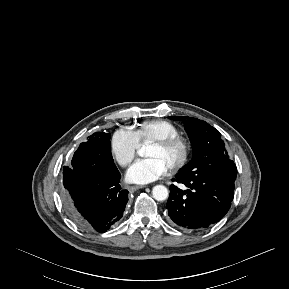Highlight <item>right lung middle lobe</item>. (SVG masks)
<instances>
[{
  "instance_id": "1",
  "label": "right lung middle lobe",
  "mask_w": 289,
  "mask_h": 289,
  "mask_svg": "<svg viewBox=\"0 0 289 289\" xmlns=\"http://www.w3.org/2000/svg\"><path fill=\"white\" fill-rule=\"evenodd\" d=\"M110 137V133L105 132L94 133L89 136L88 141L81 143L74 153L70 168H76L82 159L92 160L101 168L114 167L115 164L110 151Z\"/></svg>"
}]
</instances>
